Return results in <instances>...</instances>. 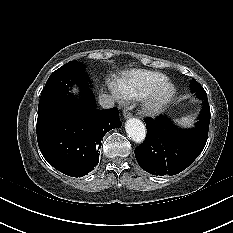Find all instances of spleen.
Returning <instances> with one entry per match:
<instances>
[{
	"instance_id": "obj_1",
	"label": "spleen",
	"mask_w": 233,
	"mask_h": 233,
	"mask_svg": "<svg viewBox=\"0 0 233 233\" xmlns=\"http://www.w3.org/2000/svg\"><path fill=\"white\" fill-rule=\"evenodd\" d=\"M174 122L183 127H190L193 124V118L188 115L181 117L180 119H175Z\"/></svg>"
}]
</instances>
